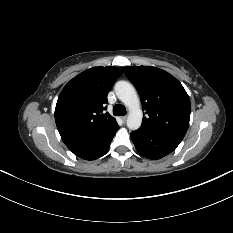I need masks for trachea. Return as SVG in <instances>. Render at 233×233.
Masks as SVG:
<instances>
[{
	"mask_svg": "<svg viewBox=\"0 0 233 233\" xmlns=\"http://www.w3.org/2000/svg\"><path fill=\"white\" fill-rule=\"evenodd\" d=\"M113 113L116 116H124L126 115V108L121 104H116L113 107Z\"/></svg>",
	"mask_w": 233,
	"mask_h": 233,
	"instance_id": "trachea-1",
	"label": "trachea"
}]
</instances>
